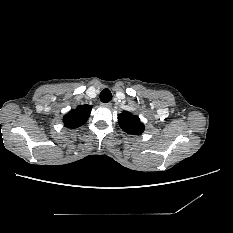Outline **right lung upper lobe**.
I'll use <instances>...</instances> for the list:
<instances>
[{"mask_svg":"<svg viewBox=\"0 0 233 233\" xmlns=\"http://www.w3.org/2000/svg\"><path fill=\"white\" fill-rule=\"evenodd\" d=\"M91 109L90 105H79L72 109L63 118L65 127L77 128L83 125L88 120Z\"/></svg>","mask_w":233,"mask_h":233,"instance_id":"cb5924a9","label":"right lung upper lobe"}]
</instances>
